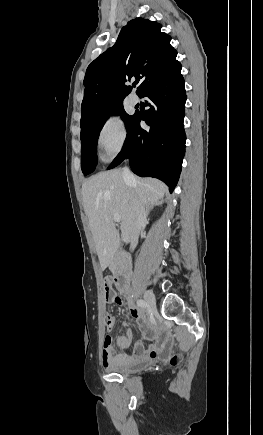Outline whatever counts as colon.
<instances>
[{
	"label": "colon",
	"instance_id": "1",
	"mask_svg": "<svg viewBox=\"0 0 263 435\" xmlns=\"http://www.w3.org/2000/svg\"><path fill=\"white\" fill-rule=\"evenodd\" d=\"M105 299L111 302H118L120 300L119 296L111 290V285L109 280L105 282ZM102 348L103 350H114L115 343L114 341L111 340L109 336H107L103 340ZM178 359H179L178 356H173L171 358V364H176Z\"/></svg>",
	"mask_w": 263,
	"mask_h": 435
}]
</instances>
